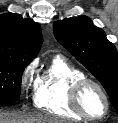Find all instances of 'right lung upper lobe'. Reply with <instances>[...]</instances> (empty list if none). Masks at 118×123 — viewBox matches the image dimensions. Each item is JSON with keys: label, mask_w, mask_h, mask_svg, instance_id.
Segmentation results:
<instances>
[{"label": "right lung upper lobe", "mask_w": 118, "mask_h": 123, "mask_svg": "<svg viewBox=\"0 0 118 123\" xmlns=\"http://www.w3.org/2000/svg\"><path fill=\"white\" fill-rule=\"evenodd\" d=\"M42 43L38 23L18 14L0 16V57L29 64L38 55Z\"/></svg>", "instance_id": "cb5924a9"}]
</instances>
